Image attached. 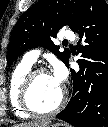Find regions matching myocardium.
<instances>
[{
	"instance_id": "f54148a6",
	"label": "myocardium",
	"mask_w": 108,
	"mask_h": 127,
	"mask_svg": "<svg viewBox=\"0 0 108 127\" xmlns=\"http://www.w3.org/2000/svg\"><path fill=\"white\" fill-rule=\"evenodd\" d=\"M41 74H49V71L44 67H38L31 69L27 75L25 76L21 86H20V92H19V101L21 107L30 115L35 116H48L57 113L60 111L63 106L66 103L67 100V91L65 88L62 89L61 96L57 102V104L46 111L39 110L36 108L32 102V88L33 84L37 78V76Z\"/></svg>"
}]
</instances>
